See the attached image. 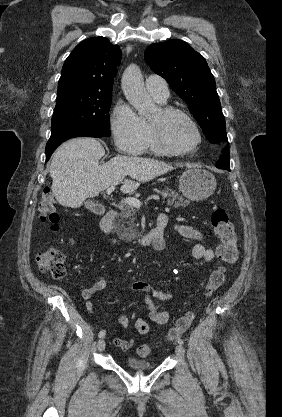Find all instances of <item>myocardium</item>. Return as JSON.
Wrapping results in <instances>:
<instances>
[{
	"label": "myocardium",
	"mask_w": 282,
	"mask_h": 417,
	"mask_svg": "<svg viewBox=\"0 0 282 417\" xmlns=\"http://www.w3.org/2000/svg\"><path fill=\"white\" fill-rule=\"evenodd\" d=\"M160 114L165 117V118H170V117H180L182 118L187 124L188 126L191 128L192 132L194 133L195 136V141L193 142V144H191L190 146H186V147H176V146H172L170 145L162 131L160 130V128L154 126L150 121H149V128L154 136V139L156 141V143L158 144V146L165 152L167 153H172V154H186V153H190L195 151L198 146L201 143V134L200 131L196 125V123L192 120V118L185 113L184 111L174 108V107H169V106H162L158 108Z\"/></svg>",
	"instance_id": "obj_1"
}]
</instances>
